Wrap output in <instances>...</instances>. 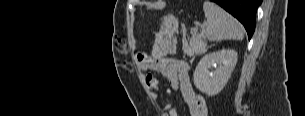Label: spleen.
Instances as JSON below:
<instances>
[{
	"label": "spleen",
	"mask_w": 305,
	"mask_h": 116,
	"mask_svg": "<svg viewBox=\"0 0 305 116\" xmlns=\"http://www.w3.org/2000/svg\"><path fill=\"white\" fill-rule=\"evenodd\" d=\"M203 10L208 22L204 33L209 41L242 40L244 38L242 24L223 8L213 2L205 1Z\"/></svg>",
	"instance_id": "spleen-1"
}]
</instances>
